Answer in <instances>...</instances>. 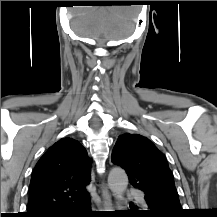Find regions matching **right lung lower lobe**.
<instances>
[{
    "label": "right lung lower lobe",
    "mask_w": 217,
    "mask_h": 217,
    "mask_svg": "<svg viewBox=\"0 0 217 217\" xmlns=\"http://www.w3.org/2000/svg\"><path fill=\"white\" fill-rule=\"evenodd\" d=\"M90 198L76 206L70 207V208H64L52 215H49L48 217H92V211H89L90 208ZM102 216H108V215H102Z\"/></svg>",
    "instance_id": "obj_1"
}]
</instances>
